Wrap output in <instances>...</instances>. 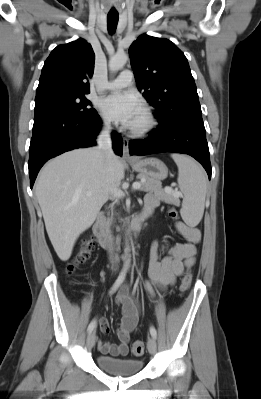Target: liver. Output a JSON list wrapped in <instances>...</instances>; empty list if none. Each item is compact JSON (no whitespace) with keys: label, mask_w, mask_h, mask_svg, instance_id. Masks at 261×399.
<instances>
[{"label":"liver","mask_w":261,"mask_h":399,"mask_svg":"<svg viewBox=\"0 0 261 399\" xmlns=\"http://www.w3.org/2000/svg\"><path fill=\"white\" fill-rule=\"evenodd\" d=\"M124 175L121 159L113 154L107 160L97 147L66 152L43 167L35 195L62 261L70 258L77 238L93 224Z\"/></svg>","instance_id":"6515ba94"}]
</instances>
